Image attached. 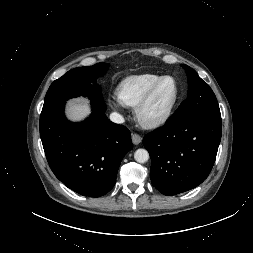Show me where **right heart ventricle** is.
<instances>
[{
    "mask_svg": "<svg viewBox=\"0 0 253 253\" xmlns=\"http://www.w3.org/2000/svg\"><path fill=\"white\" fill-rule=\"evenodd\" d=\"M162 76L152 73L131 75L117 87V98L125 106L136 107Z\"/></svg>",
    "mask_w": 253,
    "mask_h": 253,
    "instance_id": "1",
    "label": "right heart ventricle"
}]
</instances>
